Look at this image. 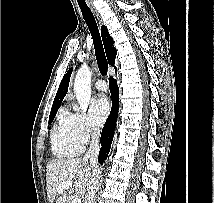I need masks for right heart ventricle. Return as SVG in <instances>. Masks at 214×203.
Here are the masks:
<instances>
[{"label": "right heart ventricle", "mask_w": 214, "mask_h": 203, "mask_svg": "<svg viewBox=\"0 0 214 203\" xmlns=\"http://www.w3.org/2000/svg\"><path fill=\"white\" fill-rule=\"evenodd\" d=\"M51 148L53 154L60 159L74 157L83 150V145L72 135L63 114L60 115L58 124L52 129Z\"/></svg>", "instance_id": "right-heart-ventricle-1"}]
</instances>
